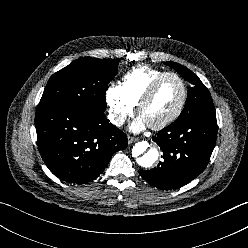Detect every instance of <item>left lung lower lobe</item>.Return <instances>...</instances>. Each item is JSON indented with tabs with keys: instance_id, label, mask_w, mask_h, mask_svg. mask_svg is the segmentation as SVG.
Here are the masks:
<instances>
[{
	"instance_id": "0a47b994",
	"label": "left lung lower lobe",
	"mask_w": 248,
	"mask_h": 248,
	"mask_svg": "<svg viewBox=\"0 0 248 248\" xmlns=\"http://www.w3.org/2000/svg\"><path fill=\"white\" fill-rule=\"evenodd\" d=\"M216 135L215 114L172 123L153 137L163 152V160L151 170H139L141 177L163 190L186 185L206 168Z\"/></svg>"
}]
</instances>
